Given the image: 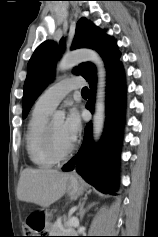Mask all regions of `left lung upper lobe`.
<instances>
[{"mask_svg":"<svg viewBox=\"0 0 158 237\" xmlns=\"http://www.w3.org/2000/svg\"><path fill=\"white\" fill-rule=\"evenodd\" d=\"M64 45L65 39H62L59 44L61 50ZM77 48L96 50L103 58L107 70L118 62L120 57L116 42L85 18H81L76 25L71 49ZM58 54L57 44L48 40L39 45L30 58L24 83L23 118L27 117L33 102L52 79ZM73 72L82 75L88 82L96 79V68L90 62L80 64Z\"/></svg>","mask_w":158,"mask_h":237,"instance_id":"left-lung-upper-lobe-1","label":"left lung upper lobe"}]
</instances>
